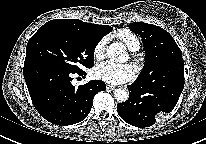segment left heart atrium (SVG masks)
Instances as JSON below:
<instances>
[{
  "label": "left heart atrium",
  "instance_id": "left-heart-atrium-1",
  "mask_svg": "<svg viewBox=\"0 0 206 144\" xmlns=\"http://www.w3.org/2000/svg\"><path fill=\"white\" fill-rule=\"evenodd\" d=\"M136 74L132 64H119L107 61L99 64L95 69V76L108 84H121L134 79Z\"/></svg>",
  "mask_w": 206,
  "mask_h": 144
}]
</instances>
